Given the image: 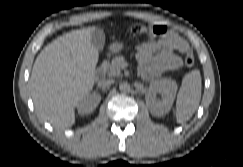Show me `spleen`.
I'll use <instances>...</instances> for the list:
<instances>
[{"label": "spleen", "mask_w": 243, "mask_h": 167, "mask_svg": "<svg viewBox=\"0 0 243 167\" xmlns=\"http://www.w3.org/2000/svg\"><path fill=\"white\" fill-rule=\"evenodd\" d=\"M200 100L201 74L198 69H195L185 74L182 79L174 110L177 123L188 121L197 110Z\"/></svg>", "instance_id": "1"}]
</instances>
